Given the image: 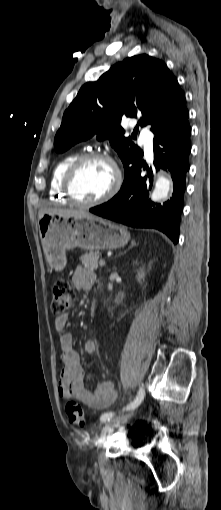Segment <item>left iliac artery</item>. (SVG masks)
<instances>
[{
	"label": "left iliac artery",
	"mask_w": 221,
	"mask_h": 510,
	"mask_svg": "<svg viewBox=\"0 0 221 510\" xmlns=\"http://www.w3.org/2000/svg\"><path fill=\"white\" fill-rule=\"evenodd\" d=\"M144 395H145V392L144 390L141 391V392H138L135 399L130 402L129 404H127L123 409L122 411H130V410H134L135 408H137L141 402L143 401L144 399ZM115 413L114 412H107V413H104L101 415L100 417V420L102 422H105V421H109L110 419H112L114 417Z\"/></svg>",
	"instance_id": "obj_1"
}]
</instances>
